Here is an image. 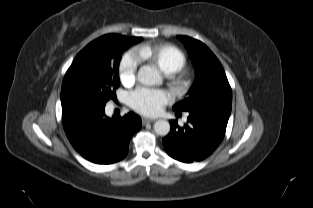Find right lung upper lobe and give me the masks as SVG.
<instances>
[{"instance_id":"cb5924a9","label":"right lung upper lobe","mask_w":313,"mask_h":208,"mask_svg":"<svg viewBox=\"0 0 313 208\" xmlns=\"http://www.w3.org/2000/svg\"><path fill=\"white\" fill-rule=\"evenodd\" d=\"M111 37H117V38H120L122 40H125V41H128V42H132L133 44L139 42L138 40L140 39V38H137V37H126V36H120V35H116V34L104 35V36H102V37L92 41L90 44H88L78 55L83 54L84 52H86L87 50L92 48L93 46L97 45L100 41H102V40H104L106 38H111Z\"/></svg>"}]
</instances>
